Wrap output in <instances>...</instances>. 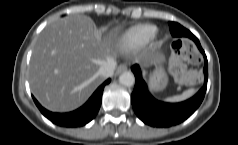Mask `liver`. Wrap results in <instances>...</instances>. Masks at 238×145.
<instances>
[{
  "instance_id": "6515ba94",
  "label": "liver",
  "mask_w": 238,
  "mask_h": 145,
  "mask_svg": "<svg viewBox=\"0 0 238 145\" xmlns=\"http://www.w3.org/2000/svg\"><path fill=\"white\" fill-rule=\"evenodd\" d=\"M121 27L98 29L88 16L61 18L40 33L29 66V83L48 110L68 112L80 107L103 82L99 68L122 52ZM162 58L149 52L140 61L149 66Z\"/></svg>"
}]
</instances>
